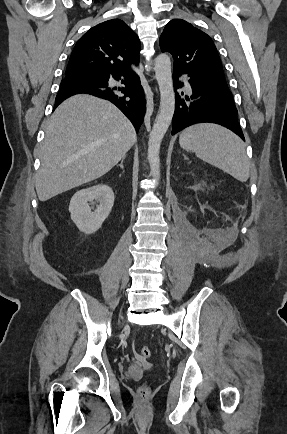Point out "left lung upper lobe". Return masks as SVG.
Returning a JSON list of instances; mask_svg holds the SVG:
<instances>
[{"instance_id": "5c2ea615", "label": "left lung upper lobe", "mask_w": 287, "mask_h": 434, "mask_svg": "<svg viewBox=\"0 0 287 434\" xmlns=\"http://www.w3.org/2000/svg\"><path fill=\"white\" fill-rule=\"evenodd\" d=\"M162 52L174 58V67L203 76L228 88L222 64L212 39L182 19L167 23L160 37Z\"/></svg>"}]
</instances>
